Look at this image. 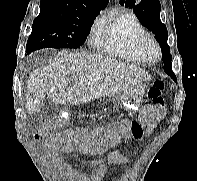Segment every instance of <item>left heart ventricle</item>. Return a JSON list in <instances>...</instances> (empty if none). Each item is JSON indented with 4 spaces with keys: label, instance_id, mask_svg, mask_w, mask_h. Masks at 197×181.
<instances>
[{
    "label": "left heart ventricle",
    "instance_id": "1",
    "mask_svg": "<svg viewBox=\"0 0 197 181\" xmlns=\"http://www.w3.org/2000/svg\"><path fill=\"white\" fill-rule=\"evenodd\" d=\"M151 54L154 56V51L153 50H151Z\"/></svg>",
    "mask_w": 197,
    "mask_h": 181
}]
</instances>
